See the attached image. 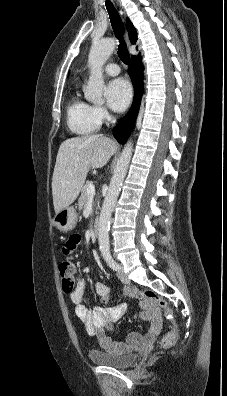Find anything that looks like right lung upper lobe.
Masks as SVG:
<instances>
[{"label": "right lung upper lobe", "mask_w": 227, "mask_h": 396, "mask_svg": "<svg viewBox=\"0 0 227 396\" xmlns=\"http://www.w3.org/2000/svg\"><path fill=\"white\" fill-rule=\"evenodd\" d=\"M126 28L129 32V38L132 44H135L137 41V33H136V29L134 28L133 24L131 23V21L127 18L126 20Z\"/></svg>", "instance_id": "cb5924a9"}]
</instances>
